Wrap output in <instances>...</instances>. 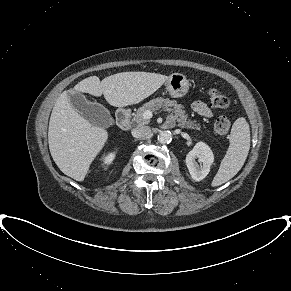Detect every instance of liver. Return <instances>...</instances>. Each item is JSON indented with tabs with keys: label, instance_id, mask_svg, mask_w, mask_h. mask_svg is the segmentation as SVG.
Here are the masks:
<instances>
[{
	"label": "liver",
	"instance_id": "liver-1",
	"mask_svg": "<svg viewBox=\"0 0 291 291\" xmlns=\"http://www.w3.org/2000/svg\"><path fill=\"white\" fill-rule=\"evenodd\" d=\"M168 76L149 72H122L104 78L88 77L74 90L93 96L104 95L115 107L137 104L157 91ZM107 130L93 126L77 113L69 101L68 91L57 99L49 122L48 143L51 156L67 176L83 181L90 164L104 147Z\"/></svg>",
	"mask_w": 291,
	"mask_h": 291
}]
</instances>
